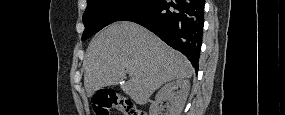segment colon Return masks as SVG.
<instances>
[{
    "instance_id": "colon-1",
    "label": "colon",
    "mask_w": 285,
    "mask_h": 115,
    "mask_svg": "<svg viewBox=\"0 0 285 115\" xmlns=\"http://www.w3.org/2000/svg\"><path fill=\"white\" fill-rule=\"evenodd\" d=\"M93 110L96 115H109L112 110L123 115H145L129 99L121 98L109 90H101L94 96Z\"/></svg>"
}]
</instances>
